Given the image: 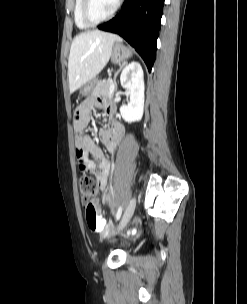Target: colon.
Wrapping results in <instances>:
<instances>
[{
    "mask_svg": "<svg viewBox=\"0 0 247 304\" xmlns=\"http://www.w3.org/2000/svg\"><path fill=\"white\" fill-rule=\"evenodd\" d=\"M79 191L89 228L95 232L106 231V223L101 217L98 205L94 202V197L97 192L95 180L88 175L82 176L79 180ZM124 228L126 229L127 227L125 226ZM131 228L133 229L134 227L132 226ZM125 236L127 238H139L141 233L139 231H127Z\"/></svg>",
    "mask_w": 247,
    "mask_h": 304,
    "instance_id": "1",
    "label": "colon"
}]
</instances>
